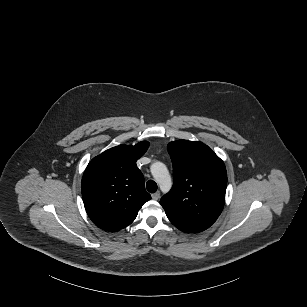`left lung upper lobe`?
Masks as SVG:
<instances>
[{"label":"left lung upper lobe","mask_w":307,"mask_h":307,"mask_svg":"<svg viewBox=\"0 0 307 307\" xmlns=\"http://www.w3.org/2000/svg\"><path fill=\"white\" fill-rule=\"evenodd\" d=\"M173 163V187L160 203L181 231L197 233L220 215L227 186L223 161L205 144L178 140L167 146Z\"/></svg>","instance_id":"left-lung-upper-lobe-1"}]
</instances>
